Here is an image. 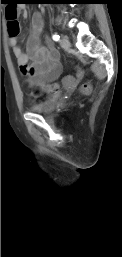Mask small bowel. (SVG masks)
I'll return each instance as SVG.
<instances>
[{
	"label": "small bowel",
	"mask_w": 122,
	"mask_h": 257,
	"mask_svg": "<svg viewBox=\"0 0 122 257\" xmlns=\"http://www.w3.org/2000/svg\"><path fill=\"white\" fill-rule=\"evenodd\" d=\"M7 11V10H6ZM17 14L23 18L28 17L26 7H18ZM44 27L43 16L36 12L32 17L31 33L27 40V52H24L18 43L17 36H10L9 44L17 59V64L23 75L31 78L33 82L46 84L56 80L61 73V64L58 52L51 46H43L39 37ZM42 97L47 98L48 89H42ZM36 98L37 94H36Z\"/></svg>",
	"instance_id": "small-bowel-1"
}]
</instances>
